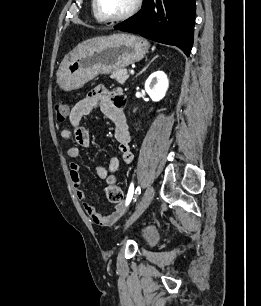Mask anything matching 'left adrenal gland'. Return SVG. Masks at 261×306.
Instances as JSON below:
<instances>
[{
	"mask_svg": "<svg viewBox=\"0 0 261 306\" xmlns=\"http://www.w3.org/2000/svg\"><path fill=\"white\" fill-rule=\"evenodd\" d=\"M156 58H157V56H156L155 58H153V59L148 63V65H147L144 69H142V71H141L138 75H140L143 71H145V70L149 67V65H150Z\"/></svg>",
	"mask_w": 261,
	"mask_h": 306,
	"instance_id": "1",
	"label": "left adrenal gland"
}]
</instances>
